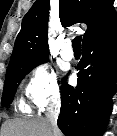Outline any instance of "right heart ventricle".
Segmentation results:
<instances>
[{
    "instance_id": "1",
    "label": "right heart ventricle",
    "mask_w": 117,
    "mask_h": 136,
    "mask_svg": "<svg viewBox=\"0 0 117 136\" xmlns=\"http://www.w3.org/2000/svg\"><path fill=\"white\" fill-rule=\"evenodd\" d=\"M20 107H21L22 110H24L26 112H28L30 110L29 106H27V105H25L23 103L20 104Z\"/></svg>"
}]
</instances>
